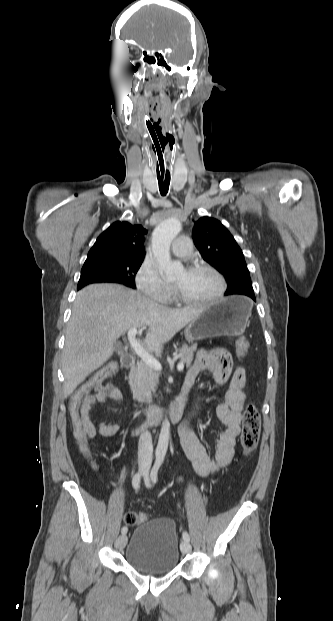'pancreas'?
Instances as JSON below:
<instances>
[{"label": "pancreas", "instance_id": "obj_1", "mask_svg": "<svg viewBox=\"0 0 333 621\" xmlns=\"http://www.w3.org/2000/svg\"><path fill=\"white\" fill-rule=\"evenodd\" d=\"M197 346L183 345L179 349L178 358L180 362L191 365L194 352ZM159 371L150 367L143 360L137 363L136 368L129 373V384L133 392V399L138 402H145L151 399L152 393L156 391Z\"/></svg>", "mask_w": 333, "mask_h": 621}]
</instances>
